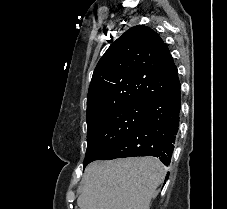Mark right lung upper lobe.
Returning <instances> with one entry per match:
<instances>
[{"label":"right lung upper lobe","instance_id":"right-lung-upper-lobe-1","mask_svg":"<svg viewBox=\"0 0 227 209\" xmlns=\"http://www.w3.org/2000/svg\"><path fill=\"white\" fill-rule=\"evenodd\" d=\"M174 61L159 34L149 27L130 28L98 62L87 96V119L102 111L101 101L122 98L148 103L173 83L164 71Z\"/></svg>","mask_w":227,"mask_h":209}]
</instances>
